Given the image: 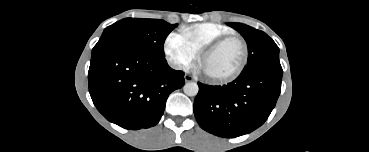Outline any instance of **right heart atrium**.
Listing matches in <instances>:
<instances>
[{
	"label": "right heart atrium",
	"mask_w": 369,
	"mask_h": 152,
	"mask_svg": "<svg viewBox=\"0 0 369 152\" xmlns=\"http://www.w3.org/2000/svg\"><path fill=\"white\" fill-rule=\"evenodd\" d=\"M163 49L170 64L180 70L190 68L198 56L181 32L169 33L164 41Z\"/></svg>",
	"instance_id": "obj_1"
}]
</instances>
